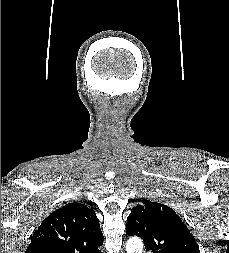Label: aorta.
I'll list each match as a JSON object with an SVG mask.
<instances>
[{"mask_svg": "<svg viewBox=\"0 0 229 253\" xmlns=\"http://www.w3.org/2000/svg\"><path fill=\"white\" fill-rule=\"evenodd\" d=\"M127 253H142L143 243L140 238L132 237L126 243Z\"/></svg>", "mask_w": 229, "mask_h": 253, "instance_id": "aorta-1", "label": "aorta"}]
</instances>
